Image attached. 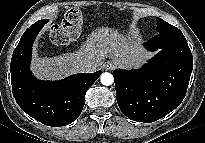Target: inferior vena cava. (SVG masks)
<instances>
[{
  "mask_svg": "<svg viewBox=\"0 0 205 143\" xmlns=\"http://www.w3.org/2000/svg\"><path fill=\"white\" fill-rule=\"evenodd\" d=\"M96 69H97L96 65L91 61L86 60V61L82 62V64H81V71L82 72L92 73V72L96 71Z\"/></svg>",
  "mask_w": 205,
  "mask_h": 143,
  "instance_id": "inferior-vena-cava-1",
  "label": "inferior vena cava"
}]
</instances>
